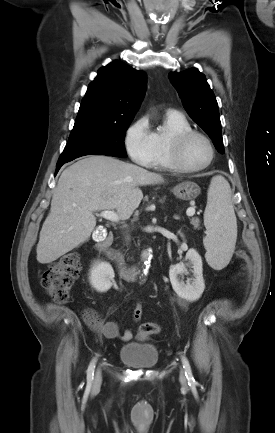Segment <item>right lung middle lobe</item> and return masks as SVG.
<instances>
[{
	"mask_svg": "<svg viewBox=\"0 0 275 433\" xmlns=\"http://www.w3.org/2000/svg\"><path fill=\"white\" fill-rule=\"evenodd\" d=\"M132 119L113 122L100 120L76 121L59 163L85 155L126 157L125 132Z\"/></svg>",
	"mask_w": 275,
	"mask_h": 433,
	"instance_id": "1",
	"label": "right lung middle lobe"
}]
</instances>
